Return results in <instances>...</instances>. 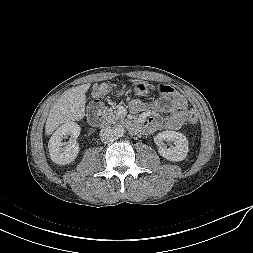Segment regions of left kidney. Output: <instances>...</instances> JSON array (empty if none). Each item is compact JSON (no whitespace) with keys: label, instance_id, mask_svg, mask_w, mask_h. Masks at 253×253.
Here are the masks:
<instances>
[{"label":"left kidney","instance_id":"left-kidney-1","mask_svg":"<svg viewBox=\"0 0 253 253\" xmlns=\"http://www.w3.org/2000/svg\"><path fill=\"white\" fill-rule=\"evenodd\" d=\"M164 141H171L175 146L173 148H167L164 145ZM154 142L158 146L160 156L169 161H182L186 158L189 151L188 140L180 132L163 131L154 137Z\"/></svg>","mask_w":253,"mask_h":253}]
</instances>
